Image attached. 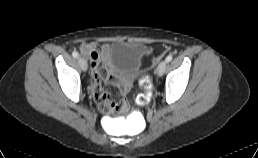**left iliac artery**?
I'll return each mask as SVG.
<instances>
[{
    "instance_id": "1",
    "label": "left iliac artery",
    "mask_w": 258,
    "mask_h": 158,
    "mask_svg": "<svg viewBox=\"0 0 258 158\" xmlns=\"http://www.w3.org/2000/svg\"><path fill=\"white\" fill-rule=\"evenodd\" d=\"M173 56L172 54H169L167 57H166V62H170L172 60Z\"/></svg>"
}]
</instances>
